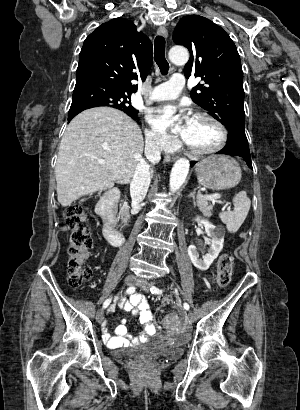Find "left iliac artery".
I'll return each instance as SVG.
<instances>
[{
  "label": "left iliac artery",
  "instance_id": "44dca946",
  "mask_svg": "<svg viewBox=\"0 0 300 410\" xmlns=\"http://www.w3.org/2000/svg\"><path fill=\"white\" fill-rule=\"evenodd\" d=\"M150 291H151V293L152 294H161L162 293V290H160V289H158L157 287H155V286H152L151 288H150ZM183 307H184V309H186V310H189V305H188V303H184L183 304Z\"/></svg>",
  "mask_w": 300,
  "mask_h": 410
}]
</instances>
